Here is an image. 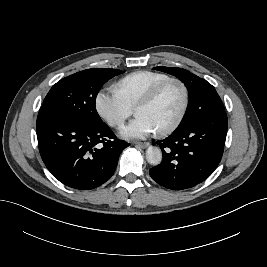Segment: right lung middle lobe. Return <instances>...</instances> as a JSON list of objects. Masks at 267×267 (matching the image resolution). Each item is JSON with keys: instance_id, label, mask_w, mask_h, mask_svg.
Masks as SVG:
<instances>
[{"instance_id": "obj_1", "label": "right lung middle lobe", "mask_w": 267, "mask_h": 267, "mask_svg": "<svg viewBox=\"0 0 267 267\" xmlns=\"http://www.w3.org/2000/svg\"><path fill=\"white\" fill-rule=\"evenodd\" d=\"M117 69L83 70L52 86L43 105L63 110L90 125H102L95 101L100 88L112 77L122 74Z\"/></svg>"}]
</instances>
